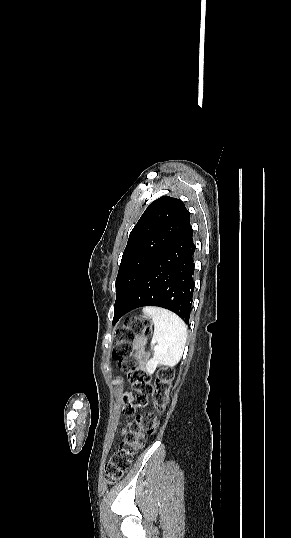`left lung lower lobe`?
<instances>
[{"instance_id": "obj_1", "label": "left lung lower lobe", "mask_w": 291, "mask_h": 538, "mask_svg": "<svg viewBox=\"0 0 291 538\" xmlns=\"http://www.w3.org/2000/svg\"><path fill=\"white\" fill-rule=\"evenodd\" d=\"M192 235L193 230L189 225L158 256L128 303L114 308L113 324L127 312L143 306L169 309L189 324L195 267Z\"/></svg>"}]
</instances>
